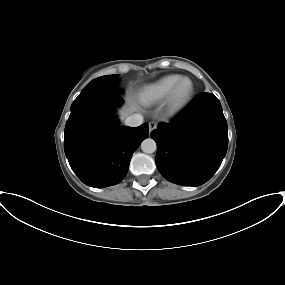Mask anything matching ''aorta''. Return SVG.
Segmentation results:
<instances>
[{
	"label": "aorta",
	"instance_id": "1",
	"mask_svg": "<svg viewBox=\"0 0 285 285\" xmlns=\"http://www.w3.org/2000/svg\"><path fill=\"white\" fill-rule=\"evenodd\" d=\"M156 149V142L151 138H147L141 143V150L144 153L151 154L154 153Z\"/></svg>",
	"mask_w": 285,
	"mask_h": 285
}]
</instances>
